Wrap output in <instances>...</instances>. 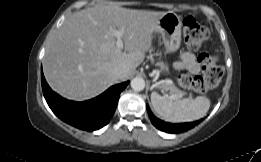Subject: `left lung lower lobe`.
Segmentation results:
<instances>
[{"label":"left lung lower lobe","instance_id":"1","mask_svg":"<svg viewBox=\"0 0 261 162\" xmlns=\"http://www.w3.org/2000/svg\"><path fill=\"white\" fill-rule=\"evenodd\" d=\"M146 107H147V111H148L152 124L159 130L167 132V133H181V132L187 131V130L195 127L197 124L200 123V120L195 121V122L180 123V124L167 123V122H164V121L156 118L152 114L148 105Z\"/></svg>","mask_w":261,"mask_h":162}]
</instances>
